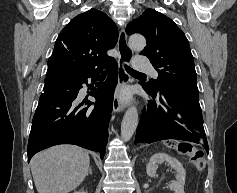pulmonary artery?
Masks as SVG:
<instances>
[{
	"mask_svg": "<svg viewBox=\"0 0 237 193\" xmlns=\"http://www.w3.org/2000/svg\"><path fill=\"white\" fill-rule=\"evenodd\" d=\"M134 68L139 72H147L152 76H157V71L144 56H138L133 59Z\"/></svg>",
	"mask_w": 237,
	"mask_h": 193,
	"instance_id": "1",
	"label": "pulmonary artery"
}]
</instances>
